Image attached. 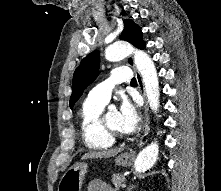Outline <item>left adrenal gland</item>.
Here are the masks:
<instances>
[{
    "instance_id": "a2214340",
    "label": "left adrenal gland",
    "mask_w": 221,
    "mask_h": 191,
    "mask_svg": "<svg viewBox=\"0 0 221 191\" xmlns=\"http://www.w3.org/2000/svg\"><path fill=\"white\" fill-rule=\"evenodd\" d=\"M134 187H135L134 185L128 186L127 191H131Z\"/></svg>"
}]
</instances>
